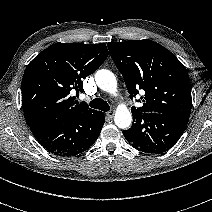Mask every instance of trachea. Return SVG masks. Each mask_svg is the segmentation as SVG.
Segmentation results:
<instances>
[{"mask_svg":"<svg viewBox=\"0 0 212 212\" xmlns=\"http://www.w3.org/2000/svg\"><path fill=\"white\" fill-rule=\"evenodd\" d=\"M90 107L92 108H95V109H99V110H102V111H109L110 110V106L109 104L104 101L103 99L101 98H95L93 99L91 102H90Z\"/></svg>","mask_w":212,"mask_h":212,"instance_id":"obj_1","label":"trachea"}]
</instances>
